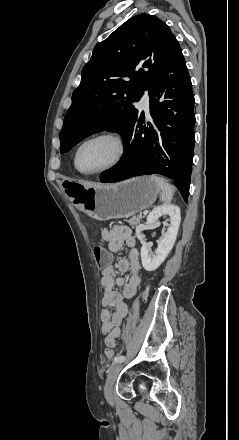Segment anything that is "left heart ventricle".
<instances>
[{
  "label": "left heart ventricle",
  "mask_w": 239,
  "mask_h": 440,
  "mask_svg": "<svg viewBox=\"0 0 239 440\" xmlns=\"http://www.w3.org/2000/svg\"><path fill=\"white\" fill-rule=\"evenodd\" d=\"M117 153L114 142L107 138L96 139L83 146L79 155L82 171L93 172L110 165Z\"/></svg>",
  "instance_id": "1"
}]
</instances>
